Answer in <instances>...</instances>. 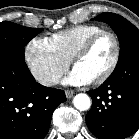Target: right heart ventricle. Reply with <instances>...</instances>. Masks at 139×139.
I'll return each mask as SVG.
<instances>
[{"mask_svg":"<svg viewBox=\"0 0 139 139\" xmlns=\"http://www.w3.org/2000/svg\"><path fill=\"white\" fill-rule=\"evenodd\" d=\"M102 30L97 25L83 24L57 32L47 39L59 54L70 61L77 49L88 38Z\"/></svg>","mask_w":139,"mask_h":139,"instance_id":"right-heart-ventricle-1","label":"right heart ventricle"}]
</instances>
